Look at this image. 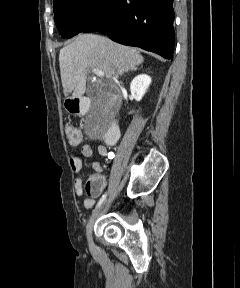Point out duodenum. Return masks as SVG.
Returning <instances> with one entry per match:
<instances>
[{
  "instance_id": "obj_1",
  "label": "duodenum",
  "mask_w": 240,
  "mask_h": 288,
  "mask_svg": "<svg viewBox=\"0 0 240 288\" xmlns=\"http://www.w3.org/2000/svg\"><path fill=\"white\" fill-rule=\"evenodd\" d=\"M77 112H86L89 109V101L87 100H77ZM119 137V128L118 125L113 122L106 134L104 135L105 142L109 145H113L116 143Z\"/></svg>"
}]
</instances>
